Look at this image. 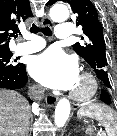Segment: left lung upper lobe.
Listing matches in <instances>:
<instances>
[{"mask_svg":"<svg viewBox=\"0 0 117 136\" xmlns=\"http://www.w3.org/2000/svg\"><path fill=\"white\" fill-rule=\"evenodd\" d=\"M56 1L50 0L48 5H53ZM69 4L76 14V25L82 26L85 42L73 45L74 51L83 57L94 69L98 78L102 81L106 89L111 88L107 74V59L105 53V41L103 37L102 24L98 20V13L90 0H63Z\"/></svg>","mask_w":117,"mask_h":136,"instance_id":"5c2ea615","label":"left lung upper lobe"}]
</instances>
